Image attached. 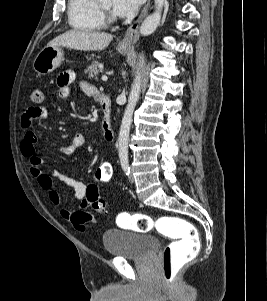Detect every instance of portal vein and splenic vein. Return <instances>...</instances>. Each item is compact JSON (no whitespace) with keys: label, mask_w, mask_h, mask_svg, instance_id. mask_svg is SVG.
<instances>
[{"label":"portal vein and splenic vein","mask_w":267,"mask_h":301,"mask_svg":"<svg viewBox=\"0 0 267 301\" xmlns=\"http://www.w3.org/2000/svg\"><path fill=\"white\" fill-rule=\"evenodd\" d=\"M108 80V77L106 74L102 75V81H107Z\"/></svg>","instance_id":"obj_1"}]
</instances>
